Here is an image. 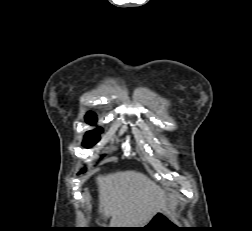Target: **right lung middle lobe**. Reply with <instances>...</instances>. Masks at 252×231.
<instances>
[{
  "label": "right lung middle lobe",
  "mask_w": 252,
  "mask_h": 231,
  "mask_svg": "<svg viewBox=\"0 0 252 231\" xmlns=\"http://www.w3.org/2000/svg\"><path fill=\"white\" fill-rule=\"evenodd\" d=\"M86 122L90 125H93L96 123L97 119L94 116H86L85 117ZM102 132V129H96L95 131H88L84 136L83 146L86 148H90L93 145H95L100 140V133Z\"/></svg>",
  "instance_id": "right-lung-middle-lobe-1"
}]
</instances>
